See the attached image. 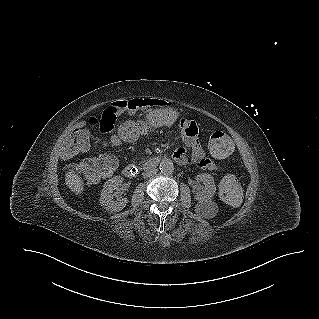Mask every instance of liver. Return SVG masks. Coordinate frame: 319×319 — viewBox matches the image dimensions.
Wrapping results in <instances>:
<instances>
[{"instance_id":"liver-1","label":"liver","mask_w":319,"mask_h":319,"mask_svg":"<svg viewBox=\"0 0 319 319\" xmlns=\"http://www.w3.org/2000/svg\"><path fill=\"white\" fill-rule=\"evenodd\" d=\"M65 182L69 189L77 195L82 194L85 189L82 178L76 175L73 170H69L65 174Z\"/></svg>"}]
</instances>
